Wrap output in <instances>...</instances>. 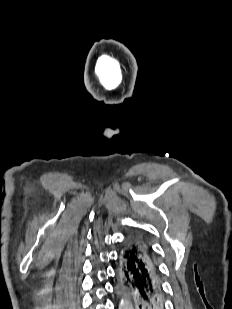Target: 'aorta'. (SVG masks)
<instances>
[{
  "instance_id": "1",
  "label": "aorta",
  "mask_w": 232,
  "mask_h": 309,
  "mask_svg": "<svg viewBox=\"0 0 232 309\" xmlns=\"http://www.w3.org/2000/svg\"><path fill=\"white\" fill-rule=\"evenodd\" d=\"M119 309H133L131 303L127 299H122L120 302Z\"/></svg>"
}]
</instances>
